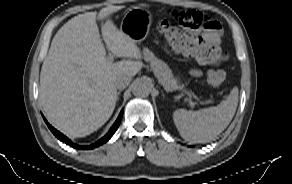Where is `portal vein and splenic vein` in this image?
<instances>
[{
	"instance_id": "portal-vein-and-splenic-vein-1",
	"label": "portal vein and splenic vein",
	"mask_w": 292,
	"mask_h": 184,
	"mask_svg": "<svg viewBox=\"0 0 292 184\" xmlns=\"http://www.w3.org/2000/svg\"><path fill=\"white\" fill-rule=\"evenodd\" d=\"M107 59H108L109 62H113L114 56L112 54H110ZM191 105H193L192 102H191Z\"/></svg>"
}]
</instances>
